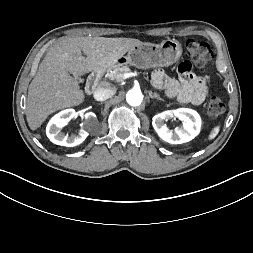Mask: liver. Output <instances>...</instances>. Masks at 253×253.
I'll return each instance as SVG.
<instances>
[{
    "label": "liver",
    "mask_w": 253,
    "mask_h": 253,
    "mask_svg": "<svg viewBox=\"0 0 253 253\" xmlns=\"http://www.w3.org/2000/svg\"><path fill=\"white\" fill-rule=\"evenodd\" d=\"M141 44L138 39L105 37L65 38L54 44L28 88L26 118L30 129L36 130L60 109L83 103L85 94L74 77L105 70Z\"/></svg>",
    "instance_id": "1"
}]
</instances>
